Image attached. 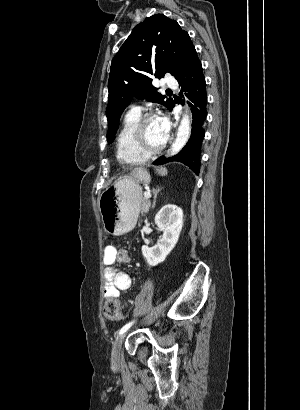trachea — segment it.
<instances>
[{
    "instance_id": "3493384b",
    "label": "trachea",
    "mask_w": 300,
    "mask_h": 410,
    "mask_svg": "<svg viewBox=\"0 0 300 410\" xmlns=\"http://www.w3.org/2000/svg\"><path fill=\"white\" fill-rule=\"evenodd\" d=\"M167 92H171V90H170V89H168V90H167Z\"/></svg>"
}]
</instances>
